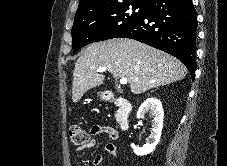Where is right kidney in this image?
Returning a JSON list of instances; mask_svg holds the SVG:
<instances>
[{
  "instance_id": "right-kidney-1",
  "label": "right kidney",
  "mask_w": 227,
  "mask_h": 166,
  "mask_svg": "<svg viewBox=\"0 0 227 166\" xmlns=\"http://www.w3.org/2000/svg\"><path fill=\"white\" fill-rule=\"evenodd\" d=\"M146 113L153 116L150 137L147 140V143L141 148L135 146L133 143L131 144V148L138 156L147 155L154 151L160 141L163 128L164 111L160 100L151 97L144 101L137 112V118H143Z\"/></svg>"
}]
</instances>
